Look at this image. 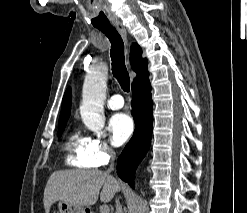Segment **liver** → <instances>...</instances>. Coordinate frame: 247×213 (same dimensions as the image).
I'll return each instance as SVG.
<instances>
[{"label":"liver","mask_w":247,"mask_h":213,"mask_svg":"<svg viewBox=\"0 0 247 213\" xmlns=\"http://www.w3.org/2000/svg\"><path fill=\"white\" fill-rule=\"evenodd\" d=\"M119 188L118 181L108 172L79 169L56 171L49 177L44 190V208L49 213L56 201L89 207L97 202L99 195L102 202H110Z\"/></svg>","instance_id":"1"}]
</instances>
